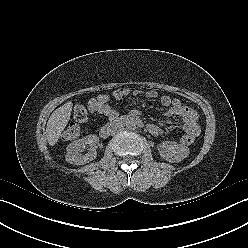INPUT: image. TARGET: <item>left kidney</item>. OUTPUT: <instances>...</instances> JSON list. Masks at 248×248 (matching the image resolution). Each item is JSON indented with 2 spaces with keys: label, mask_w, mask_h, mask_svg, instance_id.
<instances>
[{
  "label": "left kidney",
  "mask_w": 248,
  "mask_h": 248,
  "mask_svg": "<svg viewBox=\"0 0 248 248\" xmlns=\"http://www.w3.org/2000/svg\"><path fill=\"white\" fill-rule=\"evenodd\" d=\"M158 150L160 156L171 163L182 161L190 153L188 147L174 141H163L159 144Z\"/></svg>",
  "instance_id": "1"
}]
</instances>
